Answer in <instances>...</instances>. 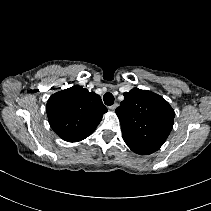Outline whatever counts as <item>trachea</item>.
Here are the masks:
<instances>
[{"label":"trachea","mask_w":211,"mask_h":211,"mask_svg":"<svg viewBox=\"0 0 211 211\" xmlns=\"http://www.w3.org/2000/svg\"><path fill=\"white\" fill-rule=\"evenodd\" d=\"M103 100H104V103L108 106H111L114 104V96L109 92L105 93V95L103 96Z\"/></svg>","instance_id":"1"}]
</instances>
